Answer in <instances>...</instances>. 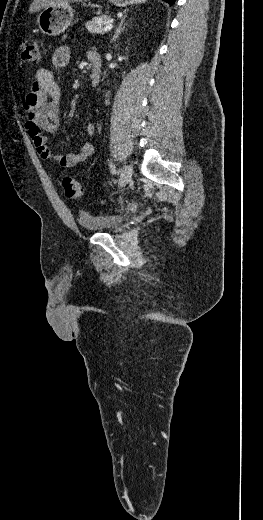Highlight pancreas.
I'll return each mask as SVG.
<instances>
[{
	"label": "pancreas",
	"mask_w": 263,
	"mask_h": 520,
	"mask_svg": "<svg viewBox=\"0 0 263 520\" xmlns=\"http://www.w3.org/2000/svg\"><path fill=\"white\" fill-rule=\"evenodd\" d=\"M109 19H110V16H107V15L97 16V17H94L92 20L87 21L85 26L90 33H93V34L103 33L104 32L103 22L107 21Z\"/></svg>",
	"instance_id": "obj_1"
}]
</instances>
